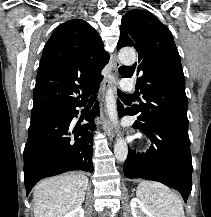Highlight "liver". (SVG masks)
<instances>
[{"label":"liver","instance_id":"liver-1","mask_svg":"<svg viewBox=\"0 0 211 217\" xmlns=\"http://www.w3.org/2000/svg\"><path fill=\"white\" fill-rule=\"evenodd\" d=\"M88 178L81 173L56 176L39 182L33 192L34 217H64L81 207Z\"/></svg>","mask_w":211,"mask_h":217}]
</instances>
